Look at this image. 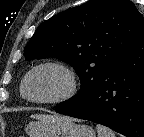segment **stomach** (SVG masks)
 Listing matches in <instances>:
<instances>
[{
  "label": "stomach",
  "mask_w": 144,
  "mask_h": 137,
  "mask_svg": "<svg viewBox=\"0 0 144 137\" xmlns=\"http://www.w3.org/2000/svg\"><path fill=\"white\" fill-rule=\"evenodd\" d=\"M25 132L29 137H96L92 127L76 124L65 116L31 122L26 126Z\"/></svg>",
  "instance_id": "obj_1"
}]
</instances>
